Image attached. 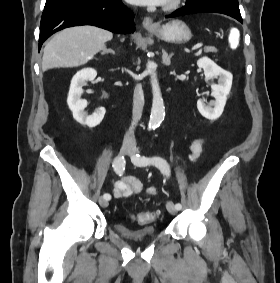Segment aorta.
<instances>
[{
  "instance_id": "1",
  "label": "aorta",
  "mask_w": 280,
  "mask_h": 283,
  "mask_svg": "<svg viewBox=\"0 0 280 283\" xmlns=\"http://www.w3.org/2000/svg\"><path fill=\"white\" fill-rule=\"evenodd\" d=\"M147 73L150 74L151 76V87H152V95H153L149 128L155 129L164 120L165 107H164L159 83L156 77V68L154 62L148 61Z\"/></svg>"
}]
</instances>
